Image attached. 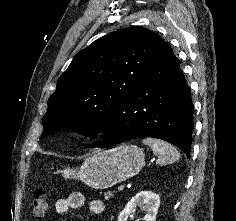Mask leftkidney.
Returning a JSON list of instances; mask_svg holds the SVG:
<instances>
[{
  "label": "left kidney",
  "instance_id": "1",
  "mask_svg": "<svg viewBox=\"0 0 236 221\" xmlns=\"http://www.w3.org/2000/svg\"><path fill=\"white\" fill-rule=\"evenodd\" d=\"M159 205L160 197L157 194L150 191H141L126 204L118 216V221H127L129 215L134 213L138 206L144 208V221H155Z\"/></svg>",
  "mask_w": 236,
  "mask_h": 221
}]
</instances>
